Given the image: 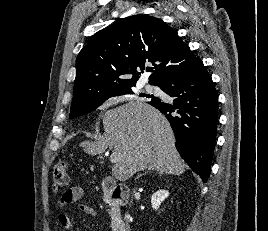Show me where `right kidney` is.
I'll return each instance as SVG.
<instances>
[{"mask_svg": "<svg viewBox=\"0 0 268 231\" xmlns=\"http://www.w3.org/2000/svg\"><path fill=\"white\" fill-rule=\"evenodd\" d=\"M169 196L167 190H158L151 196V205L154 210H157L161 203Z\"/></svg>", "mask_w": 268, "mask_h": 231, "instance_id": "obj_1", "label": "right kidney"}]
</instances>
